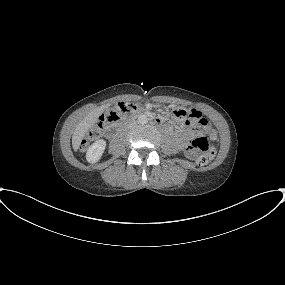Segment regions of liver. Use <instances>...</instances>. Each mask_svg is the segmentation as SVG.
I'll use <instances>...</instances> for the list:
<instances>
[{"instance_id":"6515ba94","label":"liver","mask_w":285,"mask_h":285,"mask_svg":"<svg viewBox=\"0 0 285 285\" xmlns=\"http://www.w3.org/2000/svg\"><path fill=\"white\" fill-rule=\"evenodd\" d=\"M109 105H104L95 108L91 112H89L83 120L76 126L75 131L72 136V147L74 151H77L86 132L90 129L98 120V117L101 113L108 108Z\"/></svg>"}]
</instances>
